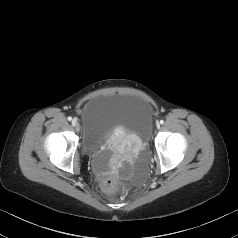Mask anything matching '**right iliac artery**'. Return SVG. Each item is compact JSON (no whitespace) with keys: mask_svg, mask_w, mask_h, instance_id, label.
Here are the masks:
<instances>
[{"mask_svg":"<svg viewBox=\"0 0 238 238\" xmlns=\"http://www.w3.org/2000/svg\"><path fill=\"white\" fill-rule=\"evenodd\" d=\"M67 119H68V121H71V120H72V117H68Z\"/></svg>","mask_w":238,"mask_h":238,"instance_id":"obj_1","label":"right iliac artery"}]
</instances>
